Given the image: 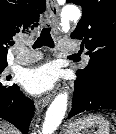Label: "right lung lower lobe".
<instances>
[{
  "label": "right lung lower lobe",
  "instance_id": "98d812e1",
  "mask_svg": "<svg viewBox=\"0 0 116 134\" xmlns=\"http://www.w3.org/2000/svg\"><path fill=\"white\" fill-rule=\"evenodd\" d=\"M34 104L24 96L19 87L14 95L7 100H0V118L16 126L23 134L28 133Z\"/></svg>",
  "mask_w": 116,
  "mask_h": 134
}]
</instances>
